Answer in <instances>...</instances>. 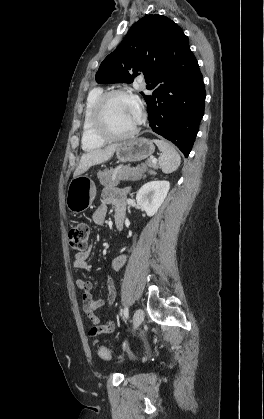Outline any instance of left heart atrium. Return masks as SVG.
<instances>
[{
    "label": "left heart atrium",
    "instance_id": "obj_1",
    "mask_svg": "<svg viewBox=\"0 0 264 419\" xmlns=\"http://www.w3.org/2000/svg\"><path fill=\"white\" fill-rule=\"evenodd\" d=\"M134 117L136 123L140 122L142 119V109L140 104L136 100H134Z\"/></svg>",
    "mask_w": 264,
    "mask_h": 419
}]
</instances>
